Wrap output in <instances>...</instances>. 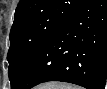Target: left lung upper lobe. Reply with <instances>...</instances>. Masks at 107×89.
Masks as SVG:
<instances>
[{"mask_svg": "<svg viewBox=\"0 0 107 89\" xmlns=\"http://www.w3.org/2000/svg\"><path fill=\"white\" fill-rule=\"evenodd\" d=\"M87 0H20L7 55L11 88L51 35Z\"/></svg>", "mask_w": 107, "mask_h": 89, "instance_id": "1", "label": "left lung upper lobe"}]
</instances>
